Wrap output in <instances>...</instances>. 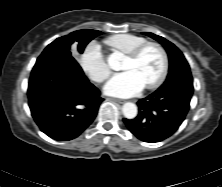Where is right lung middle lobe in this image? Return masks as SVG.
Instances as JSON below:
<instances>
[{
    "label": "right lung middle lobe",
    "instance_id": "obj_1",
    "mask_svg": "<svg viewBox=\"0 0 222 187\" xmlns=\"http://www.w3.org/2000/svg\"><path fill=\"white\" fill-rule=\"evenodd\" d=\"M100 34L101 32L97 30H91V29L78 30L70 33L67 36L57 38L55 41L49 44L46 47V49L61 50L65 53L71 54L72 46L77 45L78 52L82 53L88 42H90L93 38H95Z\"/></svg>",
    "mask_w": 222,
    "mask_h": 187
}]
</instances>
